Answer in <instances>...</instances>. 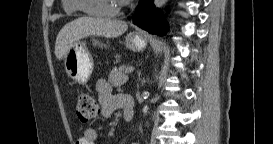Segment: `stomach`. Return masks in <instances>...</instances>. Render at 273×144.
I'll return each mask as SVG.
<instances>
[{"mask_svg": "<svg viewBox=\"0 0 273 144\" xmlns=\"http://www.w3.org/2000/svg\"><path fill=\"white\" fill-rule=\"evenodd\" d=\"M93 44L102 46L97 40H93ZM125 44L130 50L142 51L147 43L139 33H130L126 36ZM64 65L73 81L82 85L87 83L93 72L94 63L85 41H78L70 47L65 55Z\"/></svg>", "mask_w": 273, "mask_h": 144, "instance_id": "obj_1", "label": "stomach"}]
</instances>
